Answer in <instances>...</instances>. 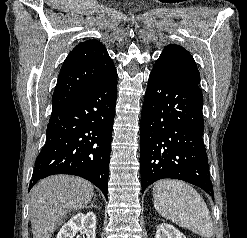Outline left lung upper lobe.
I'll return each instance as SVG.
<instances>
[{"label":"left lung upper lobe","instance_id":"5c2ea615","mask_svg":"<svg viewBox=\"0 0 247 238\" xmlns=\"http://www.w3.org/2000/svg\"><path fill=\"white\" fill-rule=\"evenodd\" d=\"M157 61L166 64L180 75L200 83V73L196 63L191 54L183 47L175 44L166 46Z\"/></svg>","mask_w":247,"mask_h":238}]
</instances>
